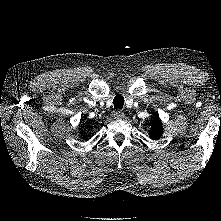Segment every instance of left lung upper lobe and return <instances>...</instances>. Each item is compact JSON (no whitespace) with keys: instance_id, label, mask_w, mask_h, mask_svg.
I'll use <instances>...</instances> for the list:
<instances>
[{"instance_id":"5c2ea615","label":"left lung upper lobe","mask_w":221,"mask_h":221,"mask_svg":"<svg viewBox=\"0 0 221 221\" xmlns=\"http://www.w3.org/2000/svg\"><path fill=\"white\" fill-rule=\"evenodd\" d=\"M162 133H163L162 123H161V121L158 119V120H156V121L153 123V125H152V127H151V129H150L149 135H150V137L153 138V139H159L160 136L162 135Z\"/></svg>"}]
</instances>
